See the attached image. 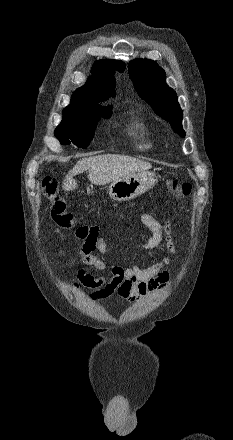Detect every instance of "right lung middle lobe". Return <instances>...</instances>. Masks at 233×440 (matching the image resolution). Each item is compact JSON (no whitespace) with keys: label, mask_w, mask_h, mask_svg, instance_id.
Masks as SVG:
<instances>
[{"label":"right lung middle lobe","mask_w":233,"mask_h":440,"mask_svg":"<svg viewBox=\"0 0 233 440\" xmlns=\"http://www.w3.org/2000/svg\"><path fill=\"white\" fill-rule=\"evenodd\" d=\"M112 109L100 107H66L62 122L55 129V136L61 144L71 142L80 148H86L92 140L95 127L101 116L111 117Z\"/></svg>","instance_id":"1"}]
</instances>
